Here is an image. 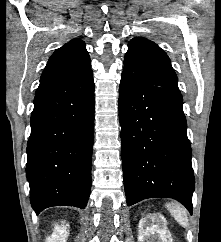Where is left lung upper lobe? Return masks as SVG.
I'll return each mask as SVG.
<instances>
[{
  "mask_svg": "<svg viewBox=\"0 0 221 242\" xmlns=\"http://www.w3.org/2000/svg\"><path fill=\"white\" fill-rule=\"evenodd\" d=\"M124 65L153 85L180 92L169 57L148 39L136 37L129 42Z\"/></svg>",
  "mask_w": 221,
  "mask_h": 242,
  "instance_id": "1",
  "label": "left lung upper lobe"
}]
</instances>
